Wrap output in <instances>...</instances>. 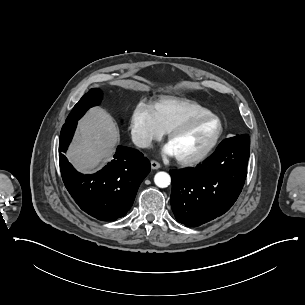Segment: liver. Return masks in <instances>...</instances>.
<instances>
[{
	"mask_svg": "<svg viewBox=\"0 0 305 305\" xmlns=\"http://www.w3.org/2000/svg\"><path fill=\"white\" fill-rule=\"evenodd\" d=\"M118 140L119 132L110 115L101 108H93L80 122L68 155L80 171H93L110 159Z\"/></svg>",
	"mask_w": 305,
	"mask_h": 305,
	"instance_id": "obj_1",
	"label": "liver"
}]
</instances>
